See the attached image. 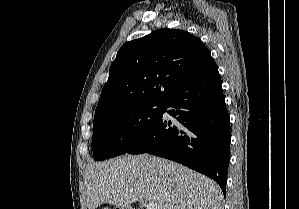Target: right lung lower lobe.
Instances as JSON below:
<instances>
[{
  "label": "right lung lower lobe",
  "mask_w": 299,
  "mask_h": 209,
  "mask_svg": "<svg viewBox=\"0 0 299 209\" xmlns=\"http://www.w3.org/2000/svg\"><path fill=\"white\" fill-rule=\"evenodd\" d=\"M164 112L174 119L163 118ZM230 140L218 69H206L175 87L160 119L126 153H149L179 162L214 179L225 195Z\"/></svg>",
  "instance_id": "right-lung-lower-lobe-1"
}]
</instances>
